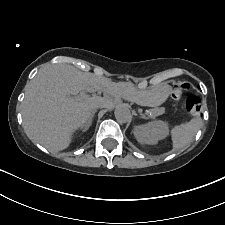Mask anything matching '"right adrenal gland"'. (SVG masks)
I'll list each match as a JSON object with an SVG mask.
<instances>
[{
  "mask_svg": "<svg viewBox=\"0 0 225 225\" xmlns=\"http://www.w3.org/2000/svg\"><path fill=\"white\" fill-rule=\"evenodd\" d=\"M95 113H96V110H93L92 113H91V116H90L89 120L83 126V132L87 131L89 129V127L91 126L92 120H93V117H94Z\"/></svg>",
  "mask_w": 225,
  "mask_h": 225,
  "instance_id": "obj_1",
  "label": "right adrenal gland"
}]
</instances>
